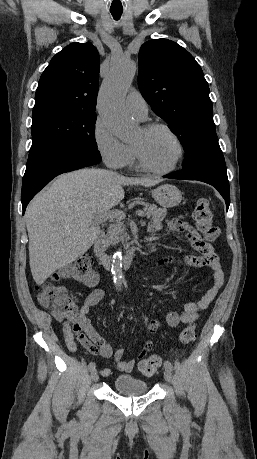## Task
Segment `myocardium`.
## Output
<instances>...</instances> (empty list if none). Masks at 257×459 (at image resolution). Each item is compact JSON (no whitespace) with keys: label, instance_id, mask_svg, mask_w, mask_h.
Here are the masks:
<instances>
[{"label":"myocardium","instance_id":"obj_1","mask_svg":"<svg viewBox=\"0 0 257 459\" xmlns=\"http://www.w3.org/2000/svg\"><path fill=\"white\" fill-rule=\"evenodd\" d=\"M142 129L144 132H151L157 129H161L167 132L174 140L177 146V149H178V154L174 162L170 166L166 168H156L147 162L141 149L137 145L133 144L135 155H136V158H137V161L140 167L154 174H168L174 171L178 167V165L181 163V161L183 160L184 154H185L184 146L179 136L168 125L164 123H160V122H151V123L145 124L142 127Z\"/></svg>","mask_w":257,"mask_h":459}]
</instances>
